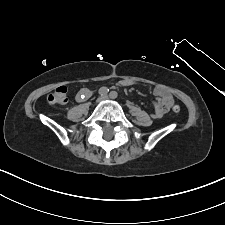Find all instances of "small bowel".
<instances>
[{"label": "small bowel", "mask_w": 225, "mask_h": 225, "mask_svg": "<svg viewBox=\"0 0 225 225\" xmlns=\"http://www.w3.org/2000/svg\"><path fill=\"white\" fill-rule=\"evenodd\" d=\"M138 82L130 79H124L120 81L122 87L130 85H136ZM154 106L155 109L151 113L153 118H161L167 112V110L174 104V97L164 88L156 87L153 91ZM91 96V90L88 88H82L76 95V100L82 102Z\"/></svg>", "instance_id": "c3829d8e"}]
</instances>
